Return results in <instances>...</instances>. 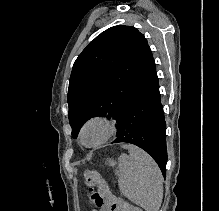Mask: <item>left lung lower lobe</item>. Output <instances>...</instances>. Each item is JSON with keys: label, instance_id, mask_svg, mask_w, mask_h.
<instances>
[{"label": "left lung lower lobe", "instance_id": "obj_1", "mask_svg": "<svg viewBox=\"0 0 219 211\" xmlns=\"http://www.w3.org/2000/svg\"><path fill=\"white\" fill-rule=\"evenodd\" d=\"M113 143H130L145 150L166 176V122L157 73L145 83L127 105L117 124Z\"/></svg>", "mask_w": 219, "mask_h": 211}]
</instances>
